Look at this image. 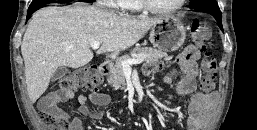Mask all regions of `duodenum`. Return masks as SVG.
I'll return each mask as SVG.
<instances>
[{"mask_svg":"<svg viewBox=\"0 0 257 130\" xmlns=\"http://www.w3.org/2000/svg\"><path fill=\"white\" fill-rule=\"evenodd\" d=\"M102 75H108L111 71V62L109 60L103 61L99 66Z\"/></svg>","mask_w":257,"mask_h":130,"instance_id":"duodenum-1","label":"duodenum"}]
</instances>
